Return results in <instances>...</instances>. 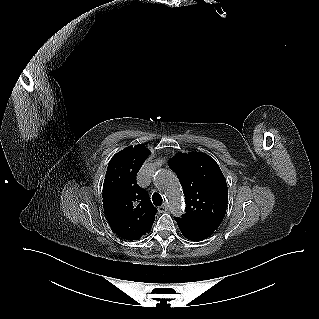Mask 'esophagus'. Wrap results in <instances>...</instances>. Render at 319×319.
<instances>
[{
    "mask_svg": "<svg viewBox=\"0 0 319 319\" xmlns=\"http://www.w3.org/2000/svg\"><path fill=\"white\" fill-rule=\"evenodd\" d=\"M159 212L164 213L168 210L167 204L164 203L162 206L158 208Z\"/></svg>",
    "mask_w": 319,
    "mask_h": 319,
    "instance_id": "obj_1",
    "label": "esophagus"
}]
</instances>
